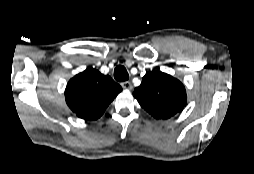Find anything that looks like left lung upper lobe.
Here are the masks:
<instances>
[{"label":"left lung upper lobe","instance_id":"1","mask_svg":"<svg viewBox=\"0 0 254 174\" xmlns=\"http://www.w3.org/2000/svg\"><path fill=\"white\" fill-rule=\"evenodd\" d=\"M133 96L156 119H168L182 111L186 104L184 85L171 75L158 71L147 72Z\"/></svg>","mask_w":254,"mask_h":174}]
</instances>
